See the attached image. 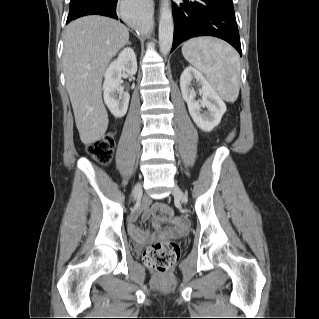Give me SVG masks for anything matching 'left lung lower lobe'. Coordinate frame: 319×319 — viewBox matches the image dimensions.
<instances>
[{
    "mask_svg": "<svg viewBox=\"0 0 319 319\" xmlns=\"http://www.w3.org/2000/svg\"><path fill=\"white\" fill-rule=\"evenodd\" d=\"M172 51L197 36H214L230 43L241 55V44L233 5L218 0H183L173 4Z\"/></svg>",
    "mask_w": 319,
    "mask_h": 319,
    "instance_id": "left-lung-lower-lobe-1",
    "label": "left lung lower lobe"
}]
</instances>
